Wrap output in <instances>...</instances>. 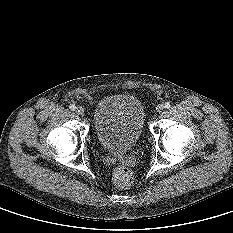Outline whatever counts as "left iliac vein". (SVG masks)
<instances>
[{
  "label": "left iliac vein",
  "instance_id": "obj_1",
  "mask_svg": "<svg viewBox=\"0 0 233 233\" xmlns=\"http://www.w3.org/2000/svg\"><path fill=\"white\" fill-rule=\"evenodd\" d=\"M164 104H159V105H157V107H156V111L157 112H162L163 110H164Z\"/></svg>",
  "mask_w": 233,
  "mask_h": 233
}]
</instances>
